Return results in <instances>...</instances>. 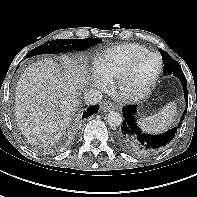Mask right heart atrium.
I'll use <instances>...</instances> for the list:
<instances>
[{
  "mask_svg": "<svg viewBox=\"0 0 197 197\" xmlns=\"http://www.w3.org/2000/svg\"><path fill=\"white\" fill-rule=\"evenodd\" d=\"M92 83L96 88L100 90L106 89L108 85V81L105 78L101 77L100 75H94L92 77Z\"/></svg>",
  "mask_w": 197,
  "mask_h": 197,
  "instance_id": "right-heart-atrium-1",
  "label": "right heart atrium"
}]
</instances>
